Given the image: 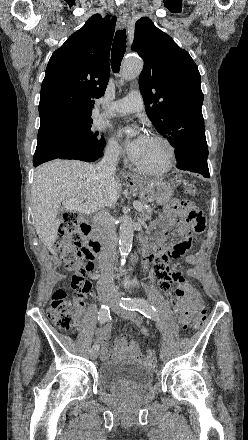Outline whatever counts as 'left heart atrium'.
Segmentation results:
<instances>
[{"label":"left heart atrium","mask_w":248,"mask_h":440,"mask_svg":"<svg viewBox=\"0 0 248 440\" xmlns=\"http://www.w3.org/2000/svg\"><path fill=\"white\" fill-rule=\"evenodd\" d=\"M134 130L135 134L131 138L127 139L125 143L128 154L133 161L140 157L149 139L147 134L140 127H134ZM129 132L130 128H121L118 131V134L124 137L128 135Z\"/></svg>","instance_id":"1"}]
</instances>
